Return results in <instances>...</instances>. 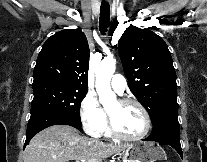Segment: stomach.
<instances>
[{
    "label": "stomach",
    "instance_id": "stomach-1",
    "mask_svg": "<svg viewBox=\"0 0 207 162\" xmlns=\"http://www.w3.org/2000/svg\"><path fill=\"white\" fill-rule=\"evenodd\" d=\"M124 162H155L166 160L164 149L153 142H139L130 144L120 153Z\"/></svg>",
    "mask_w": 207,
    "mask_h": 162
}]
</instances>
